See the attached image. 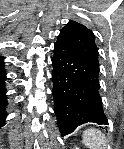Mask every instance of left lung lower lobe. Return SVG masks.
<instances>
[{
  "instance_id": "obj_1",
  "label": "left lung lower lobe",
  "mask_w": 124,
  "mask_h": 149,
  "mask_svg": "<svg viewBox=\"0 0 124 149\" xmlns=\"http://www.w3.org/2000/svg\"><path fill=\"white\" fill-rule=\"evenodd\" d=\"M52 66L54 110L61 135L88 122L108 125L99 94V65L59 35Z\"/></svg>"
}]
</instances>
